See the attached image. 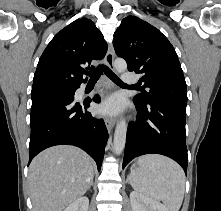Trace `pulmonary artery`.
<instances>
[{"mask_svg":"<svg viewBox=\"0 0 221 211\" xmlns=\"http://www.w3.org/2000/svg\"><path fill=\"white\" fill-rule=\"evenodd\" d=\"M122 77L123 81L129 85L135 84L137 81L136 76L132 72H125Z\"/></svg>","mask_w":221,"mask_h":211,"instance_id":"e3ab8cb5","label":"pulmonary artery"}]
</instances>
